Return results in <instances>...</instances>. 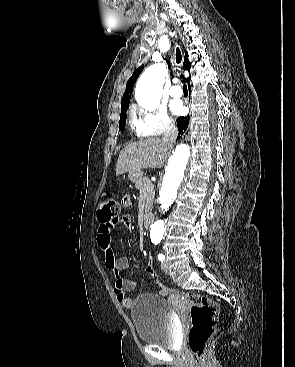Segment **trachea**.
Here are the masks:
<instances>
[{
  "label": "trachea",
  "instance_id": "3493384b",
  "mask_svg": "<svg viewBox=\"0 0 295 367\" xmlns=\"http://www.w3.org/2000/svg\"><path fill=\"white\" fill-rule=\"evenodd\" d=\"M181 59H182V55H181L180 49L177 48L176 49V62L179 64L181 62ZM183 91H188L187 85L185 83L183 84Z\"/></svg>",
  "mask_w": 295,
  "mask_h": 367
}]
</instances>
